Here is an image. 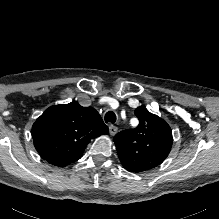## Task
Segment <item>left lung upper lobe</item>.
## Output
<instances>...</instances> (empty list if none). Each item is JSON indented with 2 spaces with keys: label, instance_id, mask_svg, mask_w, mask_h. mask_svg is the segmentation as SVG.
<instances>
[{
  "label": "left lung upper lobe",
  "instance_id": "left-lung-upper-lobe-1",
  "mask_svg": "<svg viewBox=\"0 0 219 219\" xmlns=\"http://www.w3.org/2000/svg\"><path fill=\"white\" fill-rule=\"evenodd\" d=\"M135 115L139 125L116 134L114 142L124 168L138 173L160 165L171 150L173 138L170 126L143 106Z\"/></svg>",
  "mask_w": 219,
  "mask_h": 219
}]
</instances>
